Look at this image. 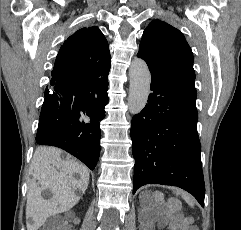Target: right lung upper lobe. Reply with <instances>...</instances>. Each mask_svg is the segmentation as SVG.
<instances>
[{
    "label": "right lung upper lobe",
    "mask_w": 241,
    "mask_h": 230,
    "mask_svg": "<svg viewBox=\"0 0 241 230\" xmlns=\"http://www.w3.org/2000/svg\"><path fill=\"white\" fill-rule=\"evenodd\" d=\"M110 66L108 42L102 32L95 26L82 28L61 46L52 79L57 75L104 79L108 76Z\"/></svg>",
    "instance_id": "cb5924a9"
}]
</instances>
